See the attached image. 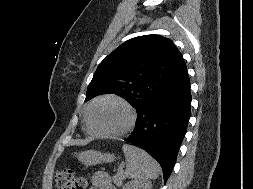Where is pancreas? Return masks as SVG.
Returning a JSON list of instances; mask_svg holds the SVG:
<instances>
[{"label": "pancreas", "instance_id": "1", "mask_svg": "<svg viewBox=\"0 0 253 189\" xmlns=\"http://www.w3.org/2000/svg\"><path fill=\"white\" fill-rule=\"evenodd\" d=\"M124 179L125 175L122 170H118L117 173L112 177V180L116 186H121Z\"/></svg>", "mask_w": 253, "mask_h": 189}]
</instances>
